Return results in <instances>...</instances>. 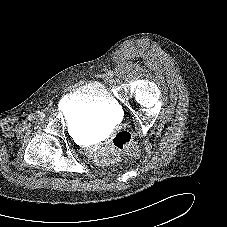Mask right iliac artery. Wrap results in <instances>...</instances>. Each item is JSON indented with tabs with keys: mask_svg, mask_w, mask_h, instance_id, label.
Instances as JSON below:
<instances>
[{
	"mask_svg": "<svg viewBox=\"0 0 227 227\" xmlns=\"http://www.w3.org/2000/svg\"><path fill=\"white\" fill-rule=\"evenodd\" d=\"M34 118H35L34 115H29V116H28V119H29V120H33Z\"/></svg>",
	"mask_w": 227,
	"mask_h": 227,
	"instance_id": "1",
	"label": "right iliac artery"
}]
</instances>
